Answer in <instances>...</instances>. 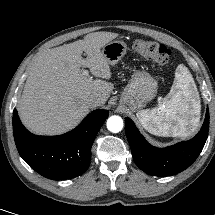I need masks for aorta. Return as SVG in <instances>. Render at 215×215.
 Segmentation results:
<instances>
[{
  "label": "aorta",
  "instance_id": "1",
  "mask_svg": "<svg viewBox=\"0 0 215 215\" xmlns=\"http://www.w3.org/2000/svg\"><path fill=\"white\" fill-rule=\"evenodd\" d=\"M107 128L109 131L113 133H118L122 130L123 128V120L119 116H111L107 120Z\"/></svg>",
  "mask_w": 215,
  "mask_h": 215
}]
</instances>
